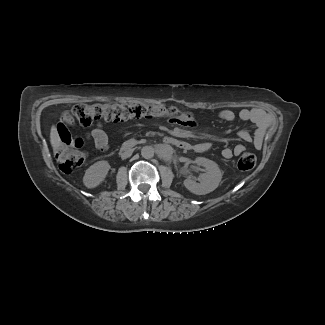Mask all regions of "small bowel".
<instances>
[{"mask_svg":"<svg viewBox=\"0 0 325 325\" xmlns=\"http://www.w3.org/2000/svg\"><path fill=\"white\" fill-rule=\"evenodd\" d=\"M237 117L242 121L253 122L257 126V131L259 133H262L263 129L269 121V118L266 113L260 109H242L238 114H236L232 110L224 109L216 114V118L224 122H232ZM190 125H193V123H191ZM56 126L57 133L60 136V142L64 143L67 146L82 148L85 147L86 144H91L93 140L95 147L99 151H106L109 147L108 137L101 123H98L96 125V127L91 131V134L87 133L83 136L79 134H71L65 121H58ZM240 137L243 140L248 141L250 140V133L247 130H243L240 133ZM209 148L210 144L207 142H201L193 145V149L196 152H205L209 150ZM244 150L245 146L243 144H237L233 148L223 149L222 156L225 159H231L232 157L241 154Z\"/></svg>","mask_w":325,"mask_h":325,"instance_id":"small-bowel-1","label":"small bowel"}]
</instances>
